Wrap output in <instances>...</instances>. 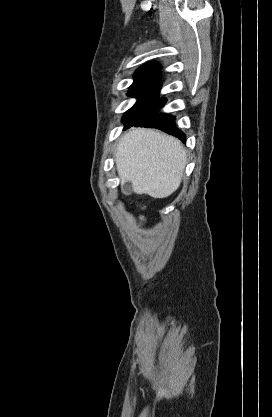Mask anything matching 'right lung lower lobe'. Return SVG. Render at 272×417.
I'll return each mask as SVG.
<instances>
[{
	"label": "right lung lower lobe",
	"instance_id": "right-lung-lower-lobe-1",
	"mask_svg": "<svg viewBox=\"0 0 272 417\" xmlns=\"http://www.w3.org/2000/svg\"><path fill=\"white\" fill-rule=\"evenodd\" d=\"M165 102L166 98L158 99L144 116H142L134 124L125 127V129L133 125H135L136 127L156 128L163 130L168 134L176 136L177 138L185 142L186 136L176 128L175 118L172 117L170 114L157 113L158 110L161 109L162 106L165 104Z\"/></svg>",
	"mask_w": 272,
	"mask_h": 417
}]
</instances>
